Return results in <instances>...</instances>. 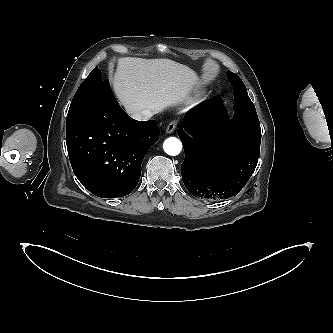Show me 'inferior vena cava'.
<instances>
[{
  "label": "inferior vena cava",
  "mask_w": 333,
  "mask_h": 333,
  "mask_svg": "<svg viewBox=\"0 0 333 333\" xmlns=\"http://www.w3.org/2000/svg\"><path fill=\"white\" fill-rule=\"evenodd\" d=\"M154 115L150 109H144L140 112L134 113L132 118L139 120V121H146L149 120Z\"/></svg>",
  "instance_id": "1"
}]
</instances>
